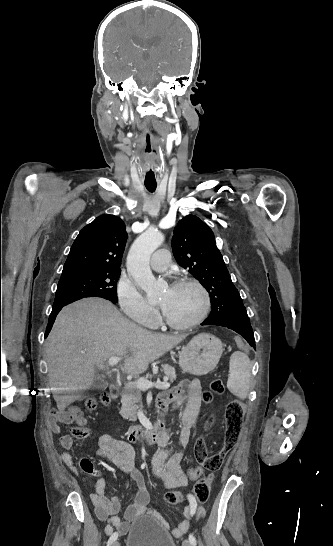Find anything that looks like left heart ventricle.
Instances as JSON below:
<instances>
[{
    "label": "left heart ventricle",
    "mask_w": 333,
    "mask_h": 546,
    "mask_svg": "<svg viewBox=\"0 0 333 546\" xmlns=\"http://www.w3.org/2000/svg\"><path fill=\"white\" fill-rule=\"evenodd\" d=\"M202 302L200 292L190 285L167 288L159 299L164 313L178 323L193 320L199 314Z\"/></svg>",
    "instance_id": "left-heart-ventricle-1"
}]
</instances>
